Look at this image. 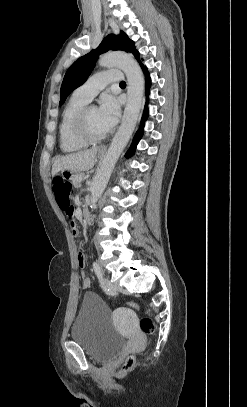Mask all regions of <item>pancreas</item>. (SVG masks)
<instances>
[{
    "label": "pancreas",
    "instance_id": "cf45deb5",
    "mask_svg": "<svg viewBox=\"0 0 247 407\" xmlns=\"http://www.w3.org/2000/svg\"><path fill=\"white\" fill-rule=\"evenodd\" d=\"M85 177H86V175L84 173L77 174L75 176V178L73 179V184L75 186H78L81 183V181L83 180V178H85Z\"/></svg>",
    "mask_w": 247,
    "mask_h": 407
}]
</instances>
